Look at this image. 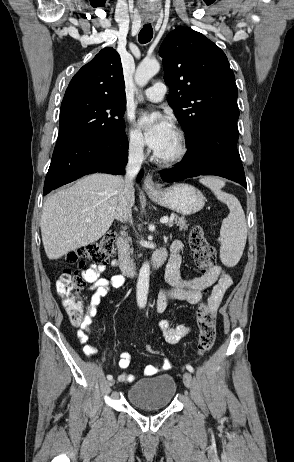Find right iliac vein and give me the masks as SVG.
Returning <instances> with one entry per match:
<instances>
[{
  "instance_id": "1",
  "label": "right iliac vein",
  "mask_w": 294,
  "mask_h": 462,
  "mask_svg": "<svg viewBox=\"0 0 294 462\" xmlns=\"http://www.w3.org/2000/svg\"><path fill=\"white\" fill-rule=\"evenodd\" d=\"M114 383H115V381L112 379V380H110V381L108 382V385H109V386H113Z\"/></svg>"
}]
</instances>
